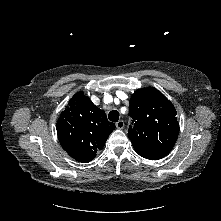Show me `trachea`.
Returning <instances> with one entry per match:
<instances>
[{
  "mask_svg": "<svg viewBox=\"0 0 221 221\" xmlns=\"http://www.w3.org/2000/svg\"><path fill=\"white\" fill-rule=\"evenodd\" d=\"M108 118L112 122H117L119 120V112L117 110H112L108 114Z\"/></svg>",
  "mask_w": 221,
  "mask_h": 221,
  "instance_id": "obj_1",
  "label": "trachea"
}]
</instances>
